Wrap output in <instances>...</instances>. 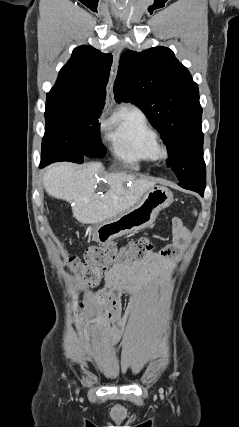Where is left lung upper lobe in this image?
Returning <instances> with one entry per match:
<instances>
[{"label":"left lung upper lobe","instance_id":"1","mask_svg":"<svg viewBox=\"0 0 239 427\" xmlns=\"http://www.w3.org/2000/svg\"><path fill=\"white\" fill-rule=\"evenodd\" d=\"M113 91L118 103L134 101L162 135L179 182L205 169L198 86L172 50L125 51Z\"/></svg>","mask_w":239,"mask_h":427}]
</instances>
